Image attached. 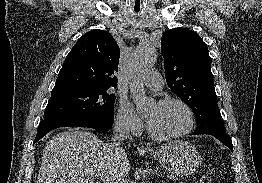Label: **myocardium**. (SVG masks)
<instances>
[{
  "label": "myocardium",
  "mask_w": 262,
  "mask_h": 183,
  "mask_svg": "<svg viewBox=\"0 0 262 183\" xmlns=\"http://www.w3.org/2000/svg\"><path fill=\"white\" fill-rule=\"evenodd\" d=\"M170 103H176L181 105L188 113L189 116V123L187 125V127L185 129H183L180 132H177L175 134H171V135H161V134H157L156 132H154L151 127L149 126V124L147 123V132L150 135V137H152L153 139L159 140V141H169V140H174V139H178L186 134H188L189 132L192 131V129L194 128L195 125V113L192 109V107L185 102L184 100L177 98V97H165L162 98L158 101L157 104L159 105H167Z\"/></svg>",
  "instance_id": "myocardium-1"
}]
</instances>
